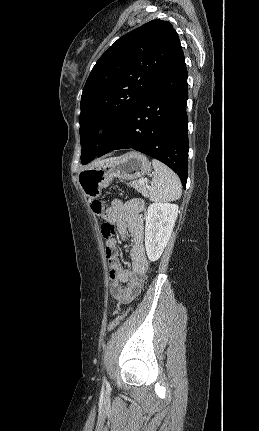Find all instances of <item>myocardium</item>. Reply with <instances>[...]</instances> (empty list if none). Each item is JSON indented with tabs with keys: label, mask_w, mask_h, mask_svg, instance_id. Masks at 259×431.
Masks as SVG:
<instances>
[{
	"label": "myocardium",
	"mask_w": 259,
	"mask_h": 431,
	"mask_svg": "<svg viewBox=\"0 0 259 431\" xmlns=\"http://www.w3.org/2000/svg\"><path fill=\"white\" fill-rule=\"evenodd\" d=\"M106 128H107V125H106V124L99 125V126L96 128V133H101V132H103Z\"/></svg>",
	"instance_id": "myocardium-1"
}]
</instances>
